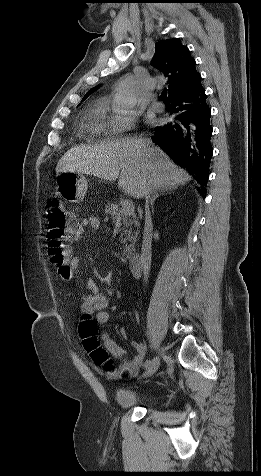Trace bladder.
<instances>
[{
  "label": "bladder",
  "instance_id": "31cf9c89",
  "mask_svg": "<svg viewBox=\"0 0 261 476\" xmlns=\"http://www.w3.org/2000/svg\"><path fill=\"white\" fill-rule=\"evenodd\" d=\"M116 402L125 408L135 406H149L153 403L154 398L149 395H140L133 390L119 388L115 392Z\"/></svg>",
  "mask_w": 261,
  "mask_h": 476
}]
</instances>
